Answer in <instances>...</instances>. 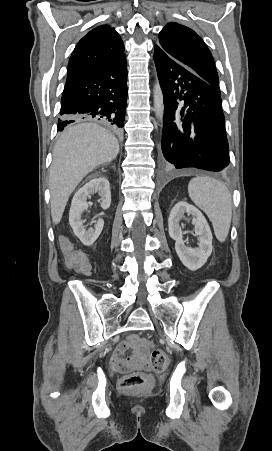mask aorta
<instances>
[{
    "label": "aorta",
    "instance_id": "obj_1",
    "mask_svg": "<svg viewBox=\"0 0 272 451\" xmlns=\"http://www.w3.org/2000/svg\"><path fill=\"white\" fill-rule=\"evenodd\" d=\"M153 102L156 118H158L159 122H162L164 116V98L159 82H156L154 86Z\"/></svg>",
    "mask_w": 272,
    "mask_h": 451
}]
</instances>
